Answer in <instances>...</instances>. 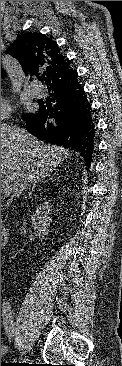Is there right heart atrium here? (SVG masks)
<instances>
[{
    "label": "right heart atrium",
    "mask_w": 122,
    "mask_h": 366,
    "mask_svg": "<svg viewBox=\"0 0 122 366\" xmlns=\"http://www.w3.org/2000/svg\"><path fill=\"white\" fill-rule=\"evenodd\" d=\"M12 112V105L10 101L1 95V121L8 118Z\"/></svg>",
    "instance_id": "1"
}]
</instances>
